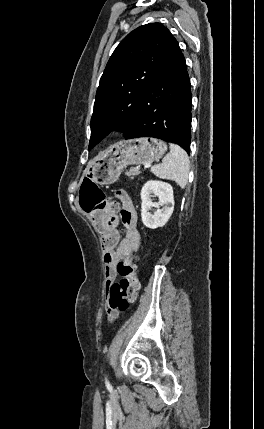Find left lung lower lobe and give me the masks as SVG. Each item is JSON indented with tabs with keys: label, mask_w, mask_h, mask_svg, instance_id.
Here are the masks:
<instances>
[{
	"label": "left lung lower lobe",
	"mask_w": 264,
	"mask_h": 429,
	"mask_svg": "<svg viewBox=\"0 0 264 429\" xmlns=\"http://www.w3.org/2000/svg\"><path fill=\"white\" fill-rule=\"evenodd\" d=\"M190 86L185 58L172 36L157 75L144 94L139 117L125 139L154 137L176 143L189 153Z\"/></svg>",
	"instance_id": "0a47b994"
}]
</instances>
